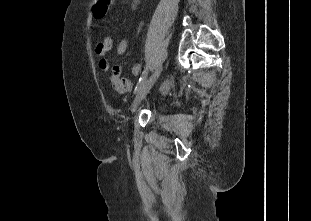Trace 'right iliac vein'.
Returning a JSON list of instances; mask_svg holds the SVG:
<instances>
[{"label":"right iliac vein","instance_id":"63e3f726","mask_svg":"<svg viewBox=\"0 0 311 221\" xmlns=\"http://www.w3.org/2000/svg\"><path fill=\"white\" fill-rule=\"evenodd\" d=\"M161 71H162V67L160 66L159 68L155 70L152 76L142 84V86L136 92V96L131 105L132 113L136 111L141 101L146 97L147 93L150 91V89L152 88V86L157 81L158 77L160 76Z\"/></svg>","mask_w":311,"mask_h":221}]
</instances>
